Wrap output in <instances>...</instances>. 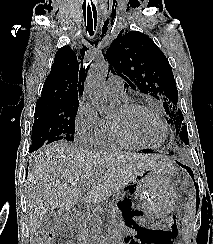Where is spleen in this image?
I'll use <instances>...</instances> for the list:
<instances>
[{
  "label": "spleen",
  "mask_w": 213,
  "mask_h": 244,
  "mask_svg": "<svg viewBox=\"0 0 213 244\" xmlns=\"http://www.w3.org/2000/svg\"><path fill=\"white\" fill-rule=\"evenodd\" d=\"M196 214V196L194 191H190L185 205V212L182 219V236L184 241L189 242L192 236V230Z\"/></svg>",
  "instance_id": "obj_1"
}]
</instances>
